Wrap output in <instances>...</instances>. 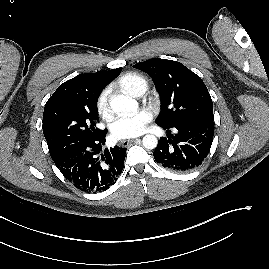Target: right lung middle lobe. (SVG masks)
Masks as SVG:
<instances>
[{
    "mask_svg": "<svg viewBox=\"0 0 269 269\" xmlns=\"http://www.w3.org/2000/svg\"><path fill=\"white\" fill-rule=\"evenodd\" d=\"M98 95L47 101L43 113V133L52 159L73 144L96 138L104 130L96 127Z\"/></svg>",
    "mask_w": 269,
    "mask_h": 269,
    "instance_id": "obj_1",
    "label": "right lung middle lobe"
}]
</instances>
